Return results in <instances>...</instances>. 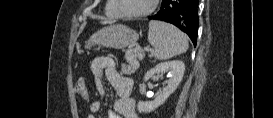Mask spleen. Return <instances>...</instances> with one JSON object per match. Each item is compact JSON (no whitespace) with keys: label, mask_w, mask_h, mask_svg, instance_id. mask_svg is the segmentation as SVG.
Listing matches in <instances>:
<instances>
[{"label":"spleen","mask_w":273,"mask_h":118,"mask_svg":"<svg viewBox=\"0 0 273 118\" xmlns=\"http://www.w3.org/2000/svg\"><path fill=\"white\" fill-rule=\"evenodd\" d=\"M148 41L153 46L154 56L158 60H167L188 49V38L174 26L159 22L150 21Z\"/></svg>","instance_id":"obj_1"}]
</instances>
